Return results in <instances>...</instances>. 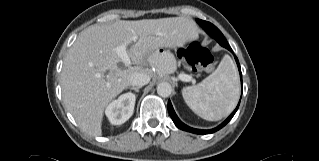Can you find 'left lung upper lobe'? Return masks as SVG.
Returning <instances> with one entry per match:
<instances>
[{"mask_svg": "<svg viewBox=\"0 0 319 161\" xmlns=\"http://www.w3.org/2000/svg\"><path fill=\"white\" fill-rule=\"evenodd\" d=\"M205 24L207 25V27H209L210 29H213L215 30V33H216V36L212 35V37L214 39H216L218 41V43L223 46L224 44L228 43L224 37V35L221 33V31L218 29L216 30L215 27L213 24H211L210 22H206L205 21Z\"/></svg>", "mask_w": 319, "mask_h": 161, "instance_id": "left-lung-upper-lobe-1", "label": "left lung upper lobe"}]
</instances>
